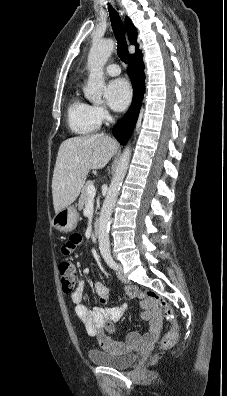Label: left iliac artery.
I'll use <instances>...</instances> for the list:
<instances>
[{
    "instance_id": "1",
    "label": "left iliac artery",
    "mask_w": 227,
    "mask_h": 396,
    "mask_svg": "<svg viewBox=\"0 0 227 396\" xmlns=\"http://www.w3.org/2000/svg\"><path fill=\"white\" fill-rule=\"evenodd\" d=\"M103 257H104V259H105V261H106V263L108 264L109 267H111V268L114 269V270H117V269H118V265H117V263L114 261L112 255H111L110 253H105V254L103 255Z\"/></svg>"
}]
</instances>
